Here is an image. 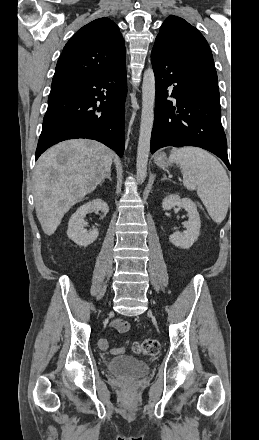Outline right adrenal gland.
Segmentation results:
<instances>
[{
    "label": "right adrenal gland",
    "instance_id": "right-adrenal-gland-1",
    "mask_svg": "<svg viewBox=\"0 0 259 440\" xmlns=\"http://www.w3.org/2000/svg\"><path fill=\"white\" fill-rule=\"evenodd\" d=\"M106 179H109L110 181H112V179H111V171L106 175V177H105ZM105 180V179H104ZM103 180V181H104Z\"/></svg>",
    "mask_w": 259,
    "mask_h": 440
}]
</instances>
